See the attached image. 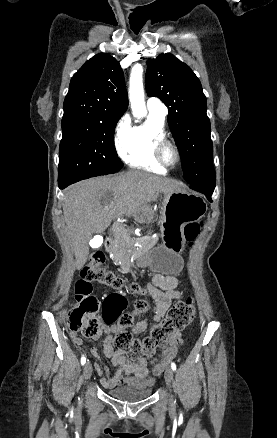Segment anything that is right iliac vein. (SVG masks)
<instances>
[{"mask_svg": "<svg viewBox=\"0 0 277 438\" xmlns=\"http://www.w3.org/2000/svg\"><path fill=\"white\" fill-rule=\"evenodd\" d=\"M92 364L90 362H87L84 366V378L86 381H88L92 375Z\"/></svg>", "mask_w": 277, "mask_h": 438, "instance_id": "right-iliac-vein-1", "label": "right iliac vein"}]
</instances>
